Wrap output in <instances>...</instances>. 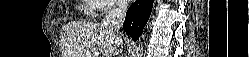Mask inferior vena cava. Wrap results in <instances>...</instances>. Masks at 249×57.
Returning a JSON list of instances; mask_svg holds the SVG:
<instances>
[{"instance_id":"602c4592","label":"inferior vena cava","mask_w":249,"mask_h":57,"mask_svg":"<svg viewBox=\"0 0 249 57\" xmlns=\"http://www.w3.org/2000/svg\"><path fill=\"white\" fill-rule=\"evenodd\" d=\"M127 3L123 0H117L114 6L106 13L102 25L118 34L122 27L127 12Z\"/></svg>"}]
</instances>
